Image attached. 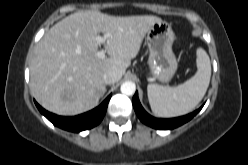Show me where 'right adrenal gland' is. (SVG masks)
<instances>
[{
  "label": "right adrenal gland",
  "mask_w": 248,
  "mask_h": 165,
  "mask_svg": "<svg viewBox=\"0 0 248 165\" xmlns=\"http://www.w3.org/2000/svg\"><path fill=\"white\" fill-rule=\"evenodd\" d=\"M106 91H107V89L105 88V89L103 90L102 96L105 94Z\"/></svg>",
  "instance_id": "obj_1"
}]
</instances>
